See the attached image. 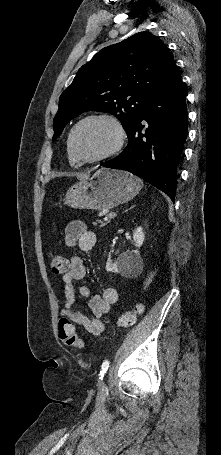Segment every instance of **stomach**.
<instances>
[{
    "mask_svg": "<svg viewBox=\"0 0 221 455\" xmlns=\"http://www.w3.org/2000/svg\"><path fill=\"white\" fill-rule=\"evenodd\" d=\"M141 188V181L134 175L101 168L89 179L71 186L64 200L73 208L109 210L133 199Z\"/></svg>",
    "mask_w": 221,
    "mask_h": 455,
    "instance_id": "1",
    "label": "stomach"
}]
</instances>
